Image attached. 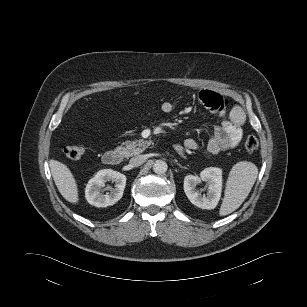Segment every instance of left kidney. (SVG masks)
Here are the masks:
<instances>
[{"mask_svg": "<svg viewBox=\"0 0 307 307\" xmlns=\"http://www.w3.org/2000/svg\"><path fill=\"white\" fill-rule=\"evenodd\" d=\"M201 180L207 183V195H201L196 188ZM184 192L195 206L202 209H214L221 197L222 170L216 167H209L201 171L200 176L187 175L184 178Z\"/></svg>", "mask_w": 307, "mask_h": 307, "instance_id": "1", "label": "left kidney"}]
</instances>
